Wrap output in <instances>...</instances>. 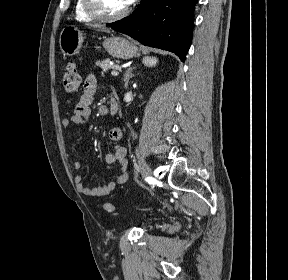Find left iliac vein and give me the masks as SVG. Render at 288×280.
<instances>
[{
    "instance_id": "left-iliac-vein-1",
    "label": "left iliac vein",
    "mask_w": 288,
    "mask_h": 280,
    "mask_svg": "<svg viewBox=\"0 0 288 280\" xmlns=\"http://www.w3.org/2000/svg\"><path fill=\"white\" fill-rule=\"evenodd\" d=\"M141 171L144 176H151V170L147 164L145 163L142 164Z\"/></svg>"
}]
</instances>
